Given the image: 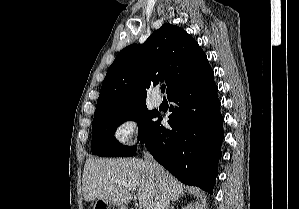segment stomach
<instances>
[{
	"label": "stomach",
	"mask_w": 299,
	"mask_h": 209,
	"mask_svg": "<svg viewBox=\"0 0 299 209\" xmlns=\"http://www.w3.org/2000/svg\"><path fill=\"white\" fill-rule=\"evenodd\" d=\"M94 209H125V208L123 206L113 205L110 202H107L102 199H98L94 204Z\"/></svg>",
	"instance_id": "stomach-1"
}]
</instances>
